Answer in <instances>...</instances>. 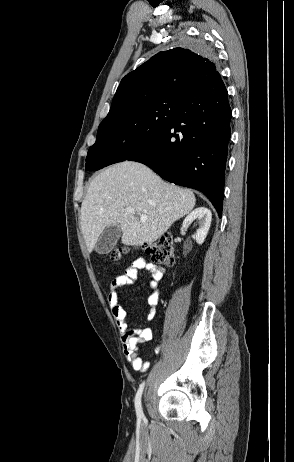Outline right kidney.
Segmentation results:
<instances>
[{"instance_id":"1","label":"right kidney","mask_w":294,"mask_h":462,"mask_svg":"<svg viewBox=\"0 0 294 462\" xmlns=\"http://www.w3.org/2000/svg\"><path fill=\"white\" fill-rule=\"evenodd\" d=\"M212 220L211 211L205 207H199L193 210L183 221V228L188 227L193 221L199 223V228L195 233V240L202 244L208 234Z\"/></svg>"}]
</instances>
